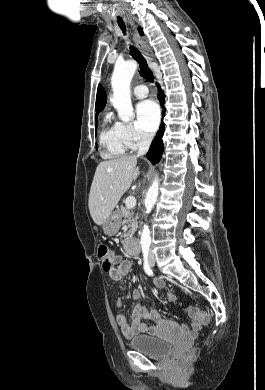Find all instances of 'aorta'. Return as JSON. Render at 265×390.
I'll use <instances>...</instances> for the list:
<instances>
[{
    "label": "aorta",
    "instance_id": "aorta-1",
    "mask_svg": "<svg viewBox=\"0 0 265 390\" xmlns=\"http://www.w3.org/2000/svg\"><path fill=\"white\" fill-rule=\"evenodd\" d=\"M136 69L137 63L133 60L116 63L111 77L113 90V98L111 101L118 112L120 120L123 122H129L134 116L131 103L130 83ZM158 192L159 179L156 176L146 194L144 203L146 213H149L155 205ZM140 243L142 247H148L151 244L150 230L147 224L143 225Z\"/></svg>",
    "mask_w": 265,
    "mask_h": 390
}]
</instances>
